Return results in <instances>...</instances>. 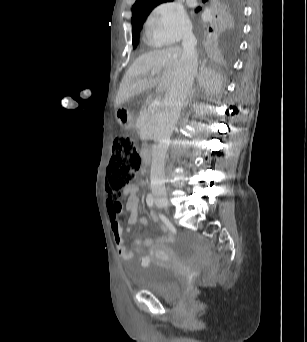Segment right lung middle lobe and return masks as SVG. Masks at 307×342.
Returning a JSON list of instances; mask_svg holds the SVG:
<instances>
[{
	"label": "right lung middle lobe",
	"mask_w": 307,
	"mask_h": 342,
	"mask_svg": "<svg viewBox=\"0 0 307 342\" xmlns=\"http://www.w3.org/2000/svg\"><path fill=\"white\" fill-rule=\"evenodd\" d=\"M139 34L133 36V47H136L138 44Z\"/></svg>",
	"instance_id": "1"
}]
</instances>
